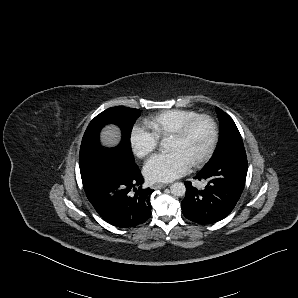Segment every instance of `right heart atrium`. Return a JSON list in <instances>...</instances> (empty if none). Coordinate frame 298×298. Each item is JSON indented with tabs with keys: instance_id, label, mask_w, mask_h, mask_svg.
Returning <instances> with one entry per match:
<instances>
[{
	"instance_id": "obj_1",
	"label": "right heart atrium",
	"mask_w": 298,
	"mask_h": 298,
	"mask_svg": "<svg viewBox=\"0 0 298 298\" xmlns=\"http://www.w3.org/2000/svg\"><path fill=\"white\" fill-rule=\"evenodd\" d=\"M130 142L134 153L143 158L158 147L159 138L152 131L136 124L131 129Z\"/></svg>"
}]
</instances>
